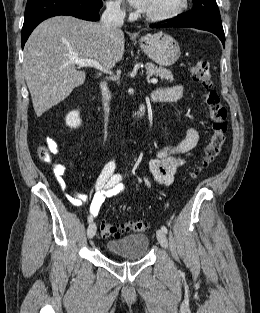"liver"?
<instances>
[{"instance_id":"6515ba94","label":"liver","mask_w":260,"mask_h":313,"mask_svg":"<svg viewBox=\"0 0 260 313\" xmlns=\"http://www.w3.org/2000/svg\"><path fill=\"white\" fill-rule=\"evenodd\" d=\"M124 34L102 23L56 16L40 23L24 47L23 72L35 113L40 117L85 81L71 56L94 59L111 69L124 54Z\"/></svg>"}]
</instances>
